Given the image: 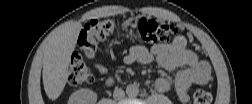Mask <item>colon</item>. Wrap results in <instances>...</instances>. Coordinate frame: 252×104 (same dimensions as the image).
Wrapping results in <instances>:
<instances>
[{
  "label": "colon",
  "instance_id": "1",
  "mask_svg": "<svg viewBox=\"0 0 252 104\" xmlns=\"http://www.w3.org/2000/svg\"><path fill=\"white\" fill-rule=\"evenodd\" d=\"M116 21L113 19L93 20L87 23L81 30L78 44L81 52L92 58L96 52L97 43L111 36L115 30ZM137 30L144 43L167 42L180 33L177 25L158 21L154 18H141L137 22ZM93 75L79 54H75L70 62L68 70V82L72 86H80L90 83ZM211 94L206 90H196L193 96L195 104H209Z\"/></svg>",
  "mask_w": 252,
  "mask_h": 104
}]
</instances>
